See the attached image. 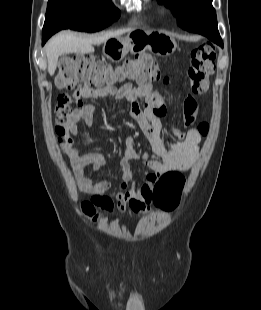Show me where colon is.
I'll return each instance as SVG.
<instances>
[{
  "label": "colon",
  "mask_w": 261,
  "mask_h": 310,
  "mask_svg": "<svg viewBox=\"0 0 261 310\" xmlns=\"http://www.w3.org/2000/svg\"><path fill=\"white\" fill-rule=\"evenodd\" d=\"M215 58L214 48L207 43L198 45L191 52L188 77L194 93L202 94L207 90L208 78L215 68ZM159 79H161V75L156 67V61L147 54L138 55L116 66L97 61L90 56H67L61 59L55 78L57 87L67 90L78 83L100 89L126 80L148 84ZM163 81L169 83L170 79L164 77ZM72 103L73 101L67 93L58 96L55 114L56 132L59 136H63L66 132L65 122L70 115ZM197 130L202 136H205L208 133L209 125L205 122L200 123ZM184 184L185 179L180 172H166L154 188V204L166 209L175 208L179 203ZM112 208L111 199L103 195H94L82 204V210L88 216L96 215L98 210L111 211Z\"/></svg>",
  "instance_id": "colon-1"
}]
</instances>
